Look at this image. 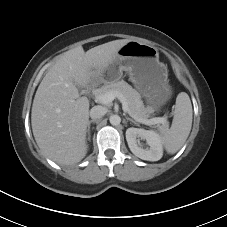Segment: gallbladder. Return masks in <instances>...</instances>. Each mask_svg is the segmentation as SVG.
I'll use <instances>...</instances> for the list:
<instances>
[{
  "label": "gallbladder",
  "mask_w": 227,
  "mask_h": 227,
  "mask_svg": "<svg viewBox=\"0 0 227 227\" xmlns=\"http://www.w3.org/2000/svg\"><path fill=\"white\" fill-rule=\"evenodd\" d=\"M77 87L80 91H82L83 87H81V86H77Z\"/></svg>",
  "instance_id": "1"
}]
</instances>
